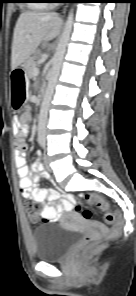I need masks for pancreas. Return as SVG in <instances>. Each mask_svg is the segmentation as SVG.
<instances>
[{"label": "pancreas", "mask_w": 136, "mask_h": 296, "mask_svg": "<svg viewBox=\"0 0 136 296\" xmlns=\"http://www.w3.org/2000/svg\"><path fill=\"white\" fill-rule=\"evenodd\" d=\"M39 52H36V54L29 58L28 60H26V62L24 63V68H25V72L29 77H33L34 76V68H36V60L39 57Z\"/></svg>", "instance_id": "obj_1"}]
</instances>
